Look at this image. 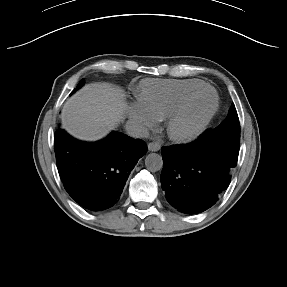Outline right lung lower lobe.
Listing matches in <instances>:
<instances>
[{
	"label": "right lung lower lobe",
	"mask_w": 287,
	"mask_h": 287,
	"mask_svg": "<svg viewBox=\"0 0 287 287\" xmlns=\"http://www.w3.org/2000/svg\"><path fill=\"white\" fill-rule=\"evenodd\" d=\"M60 178L81 206L100 211L114 205L129 173L147 152V145L119 132L99 142H82L58 129L54 136Z\"/></svg>",
	"instance_id": "1"
}]
</instances>
